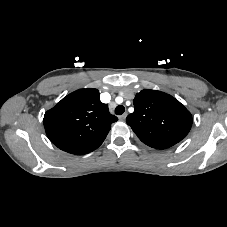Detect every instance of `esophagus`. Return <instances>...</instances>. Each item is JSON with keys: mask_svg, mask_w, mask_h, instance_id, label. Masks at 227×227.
Masks as SVG:
<instances>
[{"mask_svg": "<svg viewBox=\"0 0 227 227\" xmlns=\"http://www.w3.org/2000/svg\"><path fill=\"white\" fill-rule=\"evenodd\" d=\"M126 116H127V113H124L122 115L119 116V119L120 120H125L126 119Z\"/></svg>", "mask_w": 227, "mask_h": 227, "instance_id": "obj_1", "label": "esophagus"}]
</instances>
